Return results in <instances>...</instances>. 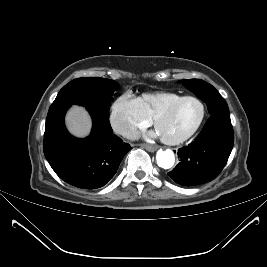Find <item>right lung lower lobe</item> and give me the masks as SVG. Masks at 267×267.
Listing matches in <instances>:
<instances>
[{
  "label": "right lung lower lobe",
  "mask_w": 267,
  "mask_h": 267,
  "mask_svg": "<svg viewBox=\"0 0 267 267\" xmlns=\"http://www.w3.org/2000/svg\"><path fill=\"white\" fill-rule=\"evenodd\" d=\"M68 108L47 115L45 157L68 184L82 189L100 188L114 176L131 147L113 134L109 115L95 109H87L93 119L91 134L84 139L71 136L64 125Z\"/></svg>",
  "instance_id": "right-lung-lower-lobe-1"
}]
</instances>
